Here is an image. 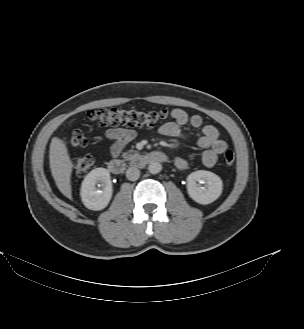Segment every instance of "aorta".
Segmentation results:
<instances>
[{
    "label": "aorta",
    "instance_id": "1",
    "mask_svg": "<svg viewBox=\"0 0 304 329\" xmlns=\"http://www.w3.org/2000/svg\"><path fill=\"white\" fill-rule=\"evenodd\" d=\"M148 170L151 174H158L162 170V165L159 162H151L148 166Z\"/></svg>",
    "mask_w": 304,
    "mask_h": 329
}]
</instances>
